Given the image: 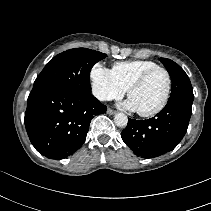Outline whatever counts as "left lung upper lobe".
Returning <instances> with one entry per match:
<instances>
[{
    "instance_id": "obj_1",
    "label": "left lung upper lobe",
    "mask_w": 211,
    "mask_h": 211,
    "mask_svg": "<svg viewBox=\"0 0 211 211\" xmlns=\"http://www.w3.org/2000/svg\"><path fill=\"white\" fill-rule=\"evenodd\" d=\"M160 61L167 69L172 80V89L168 101L186 100L193 102V88L185 71L170 59L160 58Z\"/></svg>"
}]
</instances>
